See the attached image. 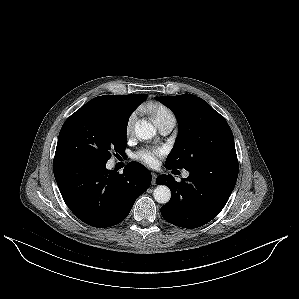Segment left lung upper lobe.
Here are the masks:
<instances>
[{
    "mask_svg": "<svg viewBox=\"0 0 299 299\" xmlns=\"http://www.w3.org/2000/svg\"><path fill=\"white\" fill-rule=\"evenodd\" d=\"M158 99L174 112L179 127L165 167L188 169L208 159L236 154L228 123L206 101L192 94Z\"/></svg>",
    "mask_w": 299,
    "mask_h": 299,
    "instance_id": "obj_1",
    "label": "left lung upper lobe"
}]
</instances>
